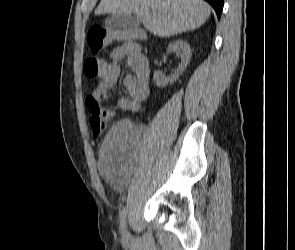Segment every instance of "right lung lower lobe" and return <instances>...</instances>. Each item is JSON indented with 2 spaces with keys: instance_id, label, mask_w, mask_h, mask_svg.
<instances>
[{
  "instance_id": "right-lung-lower-lobe-1",
  "label": "right lung lower lobe",
  "mask_w": 295,
  "mask_h": 250,
  "mask_svg": "<svg viewBox=\"0 0 295 250\" xmlns=\"http://www.w3.org/2000/svg\"><path fill=\"white\" fill-rule=\"evenodd\" d=\"M215 9L217 17L220 18L223 9V0H205Z\"/></svg>"
}]
</instances>
